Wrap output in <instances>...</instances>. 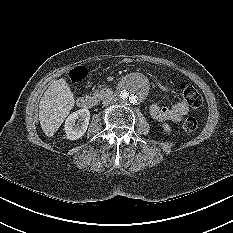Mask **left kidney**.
<instances>
[{"mask_svg":"<svg viewBox=\"0 0 233 233\" xmlns=\"http://www.w3.org/2000/svg\"><path fill=\"white\" fill-rule=\"evenodd\" d=\"M162 128L164 129L165 132L169 133L171 131V127L167 123H163Z\"/></svg>","mask_w":233,"mask_h":233,"instance_id":"1","label":"left kidney"}]
</instances>
